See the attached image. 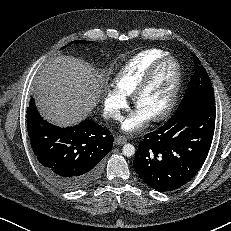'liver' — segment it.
Here are the masks:
<instances>
[{
	"label": "liver",
	"instance_id": "1",
	"mask_svg": "<svg viewBox=\"0 0 231 231\" xmlns=\"http://www.w3.org/2000/svg\"><path fill=\"white\" fill-rule=\"evenodd\" d=\"M102 87L100 75L85 62L61 55L39 69L34 89L42 116L56 125L70 126L91 113Z\"/></svg>",
	"mask_w": 231,
	"mask_h": 231
}]
</instances>
